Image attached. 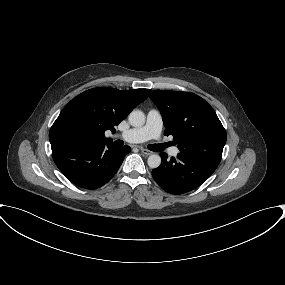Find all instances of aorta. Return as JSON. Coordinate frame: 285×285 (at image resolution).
<instances>
[{"label":"aorta","instance_id":"1","mask_svg":"<svg viewBox=\"0 0 285 285\" xmlns=\"http://www.w3.org/2000/svg\"><path fill=\"white\" fill-rule=\"evenodd\" d=\"M129 123L134 127H140L145 123V114L141 110H133L128 116ZM147 163L150 168H158L161 165V157L152 154L148 157Z\"/></svg>","mask_w":285,"mask_h":285}]
</instances>
